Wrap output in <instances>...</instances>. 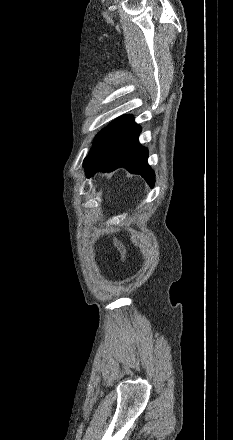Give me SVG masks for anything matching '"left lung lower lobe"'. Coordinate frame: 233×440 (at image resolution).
Listing matches in <instances>:
<instances>
[{
    "instance_id": "obj_1",
    "label": "left lung lower lobe",
    "mask_w": 233,
    "mask_h": 440,
    "mask_svg": "<svg viewBox=\"0 0 233 440\" xmlns=\"http://www.w3.org/2000/svg\"><path fill=\"white\" fill-rule=\"evenodd\" d=\"M141 127L131 115H123L112 121L101 133L84 159L86 175L97 171L110 172L124 167L140 174L153 187L155 175L147 163L148 151L138 142Z\"/></svg>"
}]
</instances>
